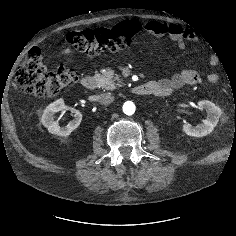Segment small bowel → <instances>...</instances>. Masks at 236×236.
Masks as SVG:
<instances>
[{
	"label": "small bowel",
	"instance_id": "c3829d8e",
	"mask_svg": "<svg viewBox=\"0 0 236 236\" xmlns=\"http://www.w3.org/2000/svg\"><path fill=\"white\" fill-rule=\"evenodd\" d=\"M145 29L149 34L155 37L169 36L181 49L186 47V41L188 39L193 40L195 38L193 33L174 23L168 24L158 21H149L145 24ZM63 52L66 55L71 54L69 48H65ZM214 60L215 57L211 56L210 61L213 62ZM208 80L213 83L217 82L219 80V74L217 72L210 73L208 75ZM199 82V74L194 70L186 69L170 78L151 81L149 83L154 88V95L167 96L185 85H195Z\"/></svg>",
	"mask_w": 236,
	"mask_h": 236
}]
</instances>
